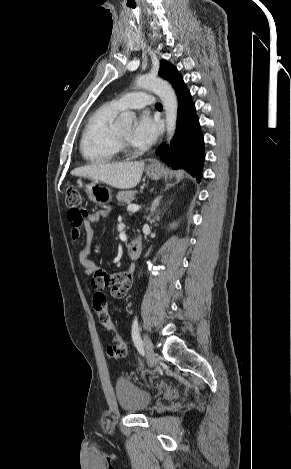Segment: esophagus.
<instances>
[{
  "instance_id": "obj_1",
  "label": "esophagus",
  "mask_w": 291,
  "mask_h": 469,
  "mask_svg": "<svg viewBox=\"0 0 291 469\" xmlns=\"http://www.w3.org/2000/svg\"><path fill=\"white\" fill-rule=\"evenodd\" d=\"M154 166H156V164H154V163H152V164L149 165L150 168H151V167H154Z\"/></svg>"
}]
</instances>
